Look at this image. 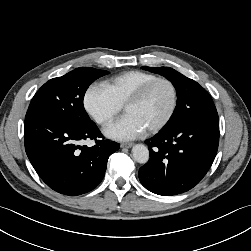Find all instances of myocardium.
Returning <instances> with one entry per match:
<instances>
[{
  "instance_id": "f54148a6",
  "label": "myocardium",
  "mask_w": 251,
  "mask_h": 251,
  "mask_svg": "<svg viewBox=\"0 0 251 251\" xmlns=\"http://www.w3.org/2000/svg\"><path fill=\"white\" fill-rule=\"evenodd\" d=\"M158 83H166L172 92V103H171V107L169 109V112L167 113V115L165 116V118L158 123L156 126L146 130V132L148 134H156L158 132H160L162 129H164L172 120L176 109H177V105H178V90L176 85L174 84V82L172 80H170L169 78H165V77H158L146 84H144L142 87H140L130 98L129 100L125 103L124 105V110L126 111V109L130 106L136 105L138 103H140L145 96L147 95V93L151 90L152 87H154L156 84Z\"/></svg>"
}]
</instances>
